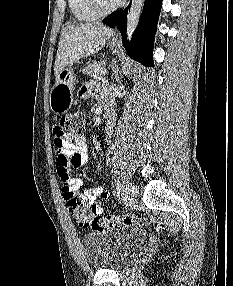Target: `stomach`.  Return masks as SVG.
Segmentation results:
<instances>
[{
	"instance_id": "obj_1",
	"label": "stomach",
	"mask_w": 233,
	"mask_h": 286,
	"mask_svg": "<svg viewBox=\"0 0 233 286\" xmlns=\"http://www.w3.org/2000/svg\"><path fill=\"white\" fill-rule=\"evenodd\" d=\"M118 43L111 42V48L117 49ZM76 77L71 67H65L56 76V82L50 92V109L55 114H63L68 111L73 102V93L76 85Z\"/></svg>"
}]
</instances>
